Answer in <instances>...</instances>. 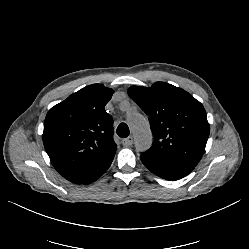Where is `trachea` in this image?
<instances>
[{
  "instance_id": "3493384b",
  "label": "trachea",
  "mask_w": 249,
  "mask_h": 249,
  "mask_svg": "<svg viewBox=\"0 0 249 249\" xmlns=\"http://www.w3.org/2000/svg\"><path fill=\"white\" fill-rule=\"evenodd\" d=\"M117 134L119 137L121 138H126L129 136L130 131L128 128V125L126 123H121L119 124V126L117 127Z\"/></svg>"
}]
</instances>
